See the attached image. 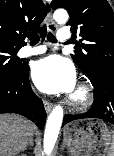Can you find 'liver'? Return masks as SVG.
I'll return each instance as SVG.
<instances>
[{
  "instance_id": "6515ba94",
  "label": "liver",
  "mask_w": 114,
  "mask_h": 156,
  "mask_svg": "<svg viewBox=\"0 0 114 156\" xmlns=\"http://www.w3.org/2000/svg\"><path fill=\"white\" fill-rule=\"evenodd\" d=\"M35 125L18 115L0 114V156H15L29 144Z\"/></svg>"
}]
</instances>
